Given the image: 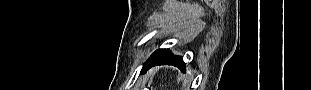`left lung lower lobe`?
<instances>
[{
	"mask_svg": "<svg viewBox=\"0 0 311 90\" xmlns=\"http://www.w3.org/2000/svg\"><path fill=\"white\" fill-rule=\"evenodd\" d=\"M156 64H170L180 67L184 71L185 64L182 57L173 56L168 49L156 50L143 66L142 71H146L150 66Z\"/></svg>",
	"mask_w": 311,
	"mask_h": 90,
	"instance_id": "1",
	"label": "left lung lower lobe"
}]
</instances>
